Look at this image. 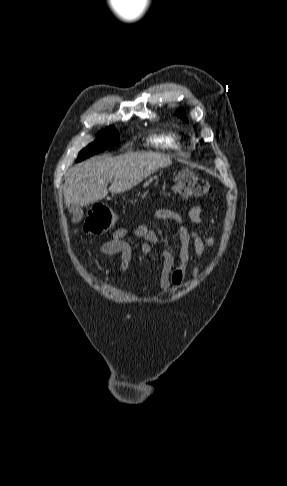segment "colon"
<instances>
[{
    "label": "colon",
    "mask_w": 287,
    "mask_h": 486,
    "mask_svg": "<svg viewBox=\"0 0 287 486\" xmlns=\"http://www.w3.org/2000/svg\"><path fill=\"white\" fill-rule=\"evenodd\" d=\"M176 191L186 197H201L209 195L211 184L191 171H180L176 176ZM114 223V214L105 204H96L88 213L84 229L87 233L99 235L107 232Z\"/></svg>",
    "instance_id": "1"
}]
</instances>
